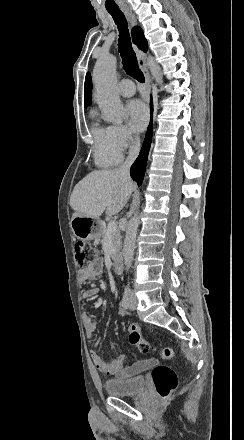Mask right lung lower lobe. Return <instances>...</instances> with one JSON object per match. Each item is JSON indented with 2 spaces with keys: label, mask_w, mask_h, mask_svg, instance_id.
Segmentation results:
<instances>
[{
  "label": "right lung lower lobe",
  "mask_w": 244,
  "mask_h": 440,
  "mask_svg": "<svg viewBox=\"0 0 244 440\" xmlns=\"http://www.w3.org/2000/svg\"><path fill=\"white\" fill-rule=\"evenodd\" d=\"M151 113H152V102H151ZM152 133H153V126H152V122H150L139 156L130 169L131 177L134 181L137 182L138 186L141 185L144 178L145 168L147 164V157L152 140Z\"/></svg>",
  "instance_id": "1"
}]
</instances>
